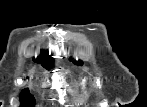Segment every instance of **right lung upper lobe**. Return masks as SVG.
Returning a JSON list of instances; mask_svg holds the SVG:
<instances>
[{"label":"right lung upper lobe","instance_id":"obj_1","mask_svg":"<svg viewBox=\"0 0 147 107\" xmlns=\"http://www.w3.org/2000/svg\"><path fill=\"white\" fill-rule=\"evenodd\" d=\"M35 62L42 64L44 67H50L52 65V57L49 56L48 52H41L40 56L37 59H34Z\"/></svg>","mask_w":147,"mask_h":107}]
</instances>
